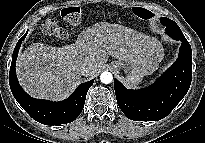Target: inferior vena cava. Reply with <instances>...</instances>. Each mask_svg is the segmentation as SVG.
<instances>
[{"mask_svg":"<svg viewBox=\"0 0 205 143\" xmlns=\"http://www.w3.org/2000/svg\"><path fill=\"white\" fill-rule=\"evenodd\" d=\"M80 72L83 76H92L95 72V67L92 64H84L81 67Z\"/></svg>","mask_w":205,"mask_h":143,"instance_id":"inferior-vena-cava-1","label":"inferior vena cava"}]
</instances>
